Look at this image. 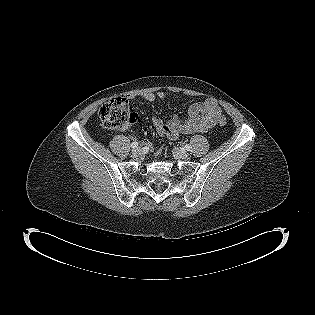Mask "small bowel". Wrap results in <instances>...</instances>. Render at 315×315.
<instances>
[{
  "mask_svg": "<svg viewBox=\"0 0 315 315\" xmlns=\"http://www.w3.org/2000/svg\"><path fill=\"white\" fill-rule=\"evenodd\" d=\"M164 92L145 93L143 98L148 102L156 99H164ZM222 116L221 109L218 104L211 99H207L201 103H195L189 108V117L185 120L179 119L177 116L169 121H164L160 117H153L152 124L158 135L170 139H177L181 134H191L196 132H204L213 127L218 119ZM146 145H150L148 141Z\"/></svg>",
  "mask_w": 315,
  "mask_h": 315,
  "instance_id": "c3829d8e",
  "label": "small bowel"
}]
</instances>
